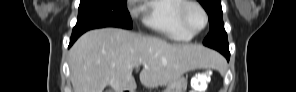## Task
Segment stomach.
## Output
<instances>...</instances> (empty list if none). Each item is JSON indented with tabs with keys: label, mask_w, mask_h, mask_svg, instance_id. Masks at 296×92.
<instances>
[{
	"label": "stomach",
	"mask_w": 296,
	"mask_h": 92,
	"mask_svg": "<svg viewBox=\"0 0 296 92\" xmlns=\"http://www.w3.org/2000/svg\"><path fill=\"white\" fill-rule=\"evenodd\" d=\"M187 89V79L179 77L168 84L164 92H185Z\"/></svg>",
	"instance_id": "1"
}]
</instances>
